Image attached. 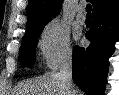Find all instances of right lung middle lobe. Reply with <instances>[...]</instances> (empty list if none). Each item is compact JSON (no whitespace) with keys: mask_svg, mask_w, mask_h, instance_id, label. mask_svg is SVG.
<instances>
[{"mask_svg":"<svg viewBox=\"0 0 119 95\" xmlns=\"http://www.w3.org/2000/svg\"><path fill=\"white\" fill-rule=\"evenodd\" d=\"M45 25L30 30L25 33L20 47V61L22 67H31L35 61V49L38 37Z\"/></svg>","mask_w":119,"mask_h":95,"instance_id":"dd1d6c3e","label":"right lung middle lobe"}]
</instances>
